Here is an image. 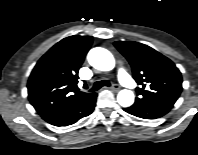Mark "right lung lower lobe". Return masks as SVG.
<instances>
[{
  "instance_id": "obj_1",
  "label": "right lung lower lobe",
  "mask_w": 198,
  "mask_h": 155,
  "mask_svg": "<svg viewBox=\"0 0 198 155\" xmlns=\"http://www.w3.org/2000/svg\"><path fill=\"white\" fill-rule=\"evenodd\" d=\"M96 98L97 93H89L72 105L41 117L48 123L55 126L74 124L93 112Z\"/></svg>"
}]
</instances>
